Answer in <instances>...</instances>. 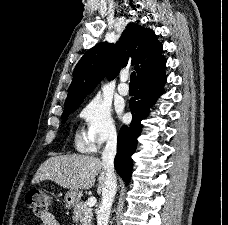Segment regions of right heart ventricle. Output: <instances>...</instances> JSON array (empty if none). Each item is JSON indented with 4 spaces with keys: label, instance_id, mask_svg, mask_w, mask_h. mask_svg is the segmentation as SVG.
Listing matches in <instances>:
<instances>
[{
    "label": "right heart ventricle",
    "instance_id": "obj_1",
    "mask_svg": "<svg viewBox=\"0 0 228 225\" xmlns=\"http://www.w3.org/2000/svg\"><path fill=\"white\" fill-rule=\"evenodd\" d=\"M75 146L80 150V151H84V152H89L92 151L93 148L91 147V145L89 144V142H87L82 136L80 135H76L75 137Z\"/></svg>",
    "mask_w": 228,
    "mask_h": 225
}]
</instances>
